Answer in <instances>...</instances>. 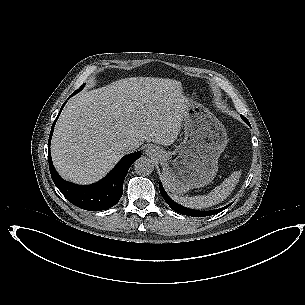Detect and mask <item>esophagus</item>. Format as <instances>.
<instances>
[{"mask_svg":"<svg viewBox=\"0 0 305 305\" xmlns=\"http://www.w3.org/2000/svg\"><path fill=\"white\" fill-rule=\"evenodd\" d=\"M147 155H154L156 153V150L153 146H149L146 150H145Z\"/></svg>","mask_w":305,"mask_h":305,"instance_id":"esophagus-1","label":"esophagus"}]
</instances>
